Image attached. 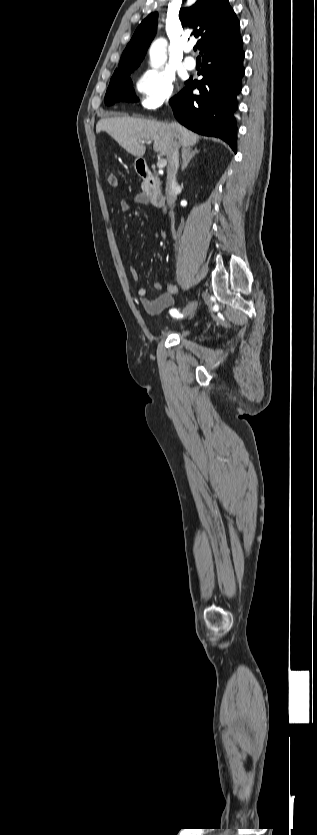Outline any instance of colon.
<instances>
[{"instance_id": "colon-1", "label": "colon", "mask_w": 317, "mask_h": 835, "mask_svg": "<svg viewBox=\"0 0 317 835\" xmlns=\"http://www.w3.org/2000/svg\"><path fill=\"white\" fill-rule=\"evenodd\" d=\"M107 182L111 187H116L118 185V178L115 173L111 172L107 175Z\"/></svg>"}]
</instances>
